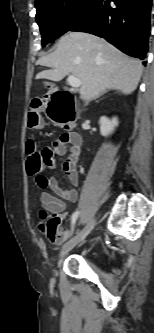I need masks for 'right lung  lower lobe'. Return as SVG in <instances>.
Instances as JSON below:
<instances>
[{
  "label": "right lung lower lobe",
  "instance_id": "98d812e1",
  "mask_svg": "<svg viewBox=\"0 0 154 333\" xmlns=\"http://www.w3.org/2000/svg\"><path fill=\"white\" fill-rule=\"evenodd\" d=\"M151 3L152 0H99L89 16L69 31L103 37L124 53L144 60L148 51Z\"/></svg>",
  "mask_w": 154,
  "mask_h": 333
}]
</instances>
